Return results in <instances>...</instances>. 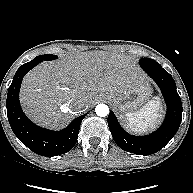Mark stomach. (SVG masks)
<instances>
[{
  "instance_id": "obj_1",
  "label": "stomach",
  "mask_w": 193,
  "mask_h": 193,
  "mask_svg": "<svg viewBox=\"0 0 193 193\" xmlns=\"http://www.w3.org/2000/svg\"><path fill=\"white\" fill-rule=\"evenodd\" d=\"M151 88L139 79L122 91L107 92L103 96L112 102L121 112H131L143 105L151 96Z\"/></svg>"
}]
</instances>
